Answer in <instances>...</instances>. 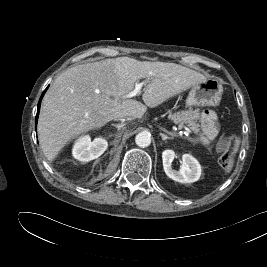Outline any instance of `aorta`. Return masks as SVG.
<instances>
[{"instance_id":"762f6f07","label":"aorta","mask_w":267,"mask_h":267,"mask_svg":"<svg viewBox=\"0 0 267 267\" xmlns=\"http://www.w3.org/2000/svg\"><path fill=\"white\" fill-rule=\"evenodd\" d=\"M135 142L139 147L145 148L151 144V137L147 132H140L136 135Z\"/></svg>"}]
</instances>
